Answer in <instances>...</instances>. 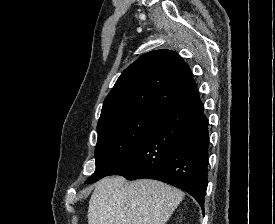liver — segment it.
Returning <instances> with one entry per match:
<instances>
[{
    "label": "liver",
    "instance_id": "6515ba94",
    "mask_svg": "<svg viewBox=\"0 0 275 224\" xmlns=\"http://www.w3.org/2000/svg\"><path fill=\"white\" fill-rule=\"evenodd\" d=\"M184 193L151 179L126 182L106 177L96 185L89 201L88 224H166Z\"/></svg>",
    "mask_w": 275,
    "mask_h": 224
}]
</instances>
